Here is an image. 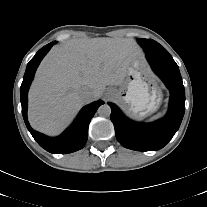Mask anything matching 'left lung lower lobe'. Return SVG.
<instances>
[{
  "label": "left lung lower lobe",
  "instance_id": "1",
  "mask_svg": "<svg viewBox=\"0 0 207 207\" xmlns=\"http://www.w3.org/2000/svg\"><path fill=\"white\" fill-rule=\"evenodd\" d=\"M153 71L170 91L169 109L164 118L152 123L134 122L125 117L113 103L111 121L117 140L125 148L136 151H154L163 148L179 129L185 111V90L178 65L168 52L146 53Z\"/></svg>",
  "mask_w": 207,
  "mask_h": 207
}]
</instances>
